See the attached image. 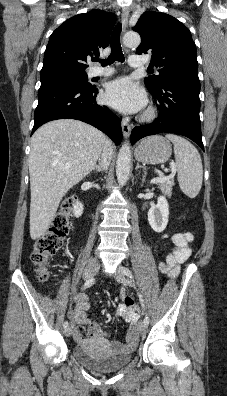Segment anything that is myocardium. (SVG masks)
<instances>
[{"mask_svg":"<svg viewBox=\"0 0 227 396\" xmlns=\"http://www.w3.org/2000/svg\"><path fill=\"white\" fill-rule=\"evenodd\" d=\"M155 116H156L155 109L150 107L144 112V114L142 115L141 119L144 120V121H150V120L154 119Z\"/></svg>","mask_w":227,"mask_h":396,"instance_id":"obj_1","label":"myocardium"}]
</instances>
